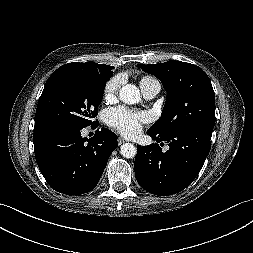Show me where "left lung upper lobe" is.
Wrapping results in <instances>:
<instances>
[{"mask_svg":"<svg viewBox=\"0 0 253 253\" xmlns=\"http://www.w3.org/2000/svg\"><path fill=\"white\" fill-rule=\"evenodd\" d=\"M137 66L156 76L168 94L161 117L149 131L168 136L198 125L214 127L215 95L210 79L200 67L181 61Z\"/></svg>","mask_w":253,"mask_h":253,"instance_id":"1","label":"left lung upper lobe"}]
</instances>
